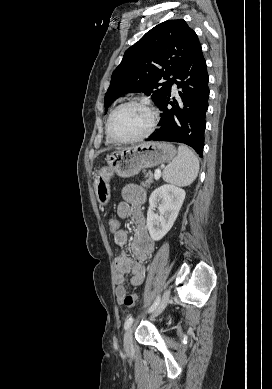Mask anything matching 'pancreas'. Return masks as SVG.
I'll return each instance as SVG.
<instances>
[{
    "label": "pancreas",
    "mask_w": 272,
    "mask_h": 389,
    "mask_svg": "<svg viewBox=\"0 0 272 389\" xmlns=\"http://www.w3.org/2000/svg\"><path fill=\"white\" fill-rule=\"evenodd\" d=\"M146 183H145V186L149 187L150 184L153 182V173L151 171H148V173L146 174Z\"/></svg>",
    "instance_id": "1"
}]
</instances>
